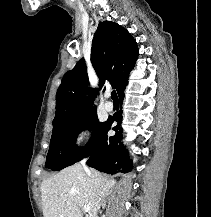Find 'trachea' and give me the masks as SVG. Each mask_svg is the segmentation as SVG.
I'll return each instance as SVG.
<instances>
[{
  "label": "trachea",
  "mask_w": 211,
  "mask_h": 217,
  "mask_svg": "<svg viewBox=\"0 0 211 217\" xmlns=\"http://www.w3.org/2000/svg\"><path fill=\"white\" fill-rule=\"evenodd\" d=\"M111 97H112L114 102H118V96H117V93L115 90L112 91Z\"/></svg>",
  "instance_id": "3493384b"
}]
</instances>
